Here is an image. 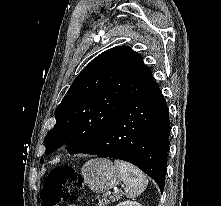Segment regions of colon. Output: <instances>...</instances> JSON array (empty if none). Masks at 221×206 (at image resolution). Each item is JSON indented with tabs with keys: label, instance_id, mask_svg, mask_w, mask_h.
I'll list each match as a JSON object with an SVG mask.
<instances>
[{
	"label": "colon",
	"instance_id": "colon-1",
	"mask_svg": "<svg viewBox=\"0 0 221 206\" xmlns=\"http://www.w3.org/2000/svg\"><path fill=\"white\" fill-rule=\"evenodd\" d=\"M83 186L82 176L71 166L55 168L45 181L41 195L42 206H56L58 203L77 199Z\"/></svg>",
	"mask_w": 221,
	"mask_h": 206
}]
</instances>
